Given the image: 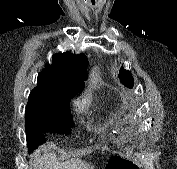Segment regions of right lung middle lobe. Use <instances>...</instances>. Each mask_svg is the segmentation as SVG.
Listing matches in <instances>:
<instances>
[{"label":"right lung middle lobe","mask_w":177,"mask_h":169,"mask_svg":"<svg viewBox=\"0 0 177 169\" xmlns=\"http://www.w3.org/2000/svg\"><path fill=\"white\" fill-rule=\"evenodd\" d=\"M69 102L70 100L48 104H27L25 111L26 132L29 134L70 133L73 120L69 113Z\"/></svg>","instance_id":"1"}]
</instances>
